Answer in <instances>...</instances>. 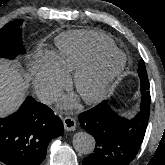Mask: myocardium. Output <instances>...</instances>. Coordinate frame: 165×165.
Wrapping results in <instances>:
<instances>
[{"label": "myocardium", "mask_w": 165, "mask_h": 165, "mask_svg": "<svg viewBox=\"0 0 165 165\" xmlns=\"http://www.w3.org/2000/svg\"><path fill=\"white\" fill-rule=\"evenodd\" d=\"M110 57L118 59L115 67L101 78L98 86L92 93L87 95L80 94V86L83 79L92 73L105 58ZM125 65L126 58L117 48L98 51L74 71L73 87L85 103H97L107 95L114 82L122 74Z\"/></svg>", "instance_id": "f54148a6"}]
</instances>
